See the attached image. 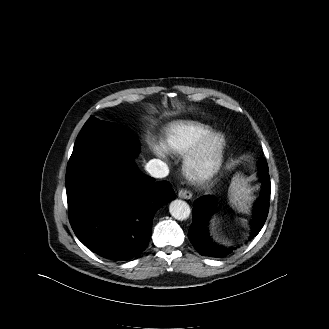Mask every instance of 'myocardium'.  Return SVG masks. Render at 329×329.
<instances>
[{
	"mask_svg": "<svg viewBox=\"0 0 329 329\" xmlns=\"http://www.w3.org/2000/svg\"><path fill=\"white\" fill-rule=\"evenodd\" d=\"M213 159L205 162L209 150ZM227 149L225 136L220 132H211L198 141L185 155L183 170L186 177L194 183H204L212 179L221 170Z\"/></svg>",
	"mask_w": 329,
	"mask_h": 329,
	"instance_id": "f54148a6",
	"label": "myocardium"
}]
</instances>
